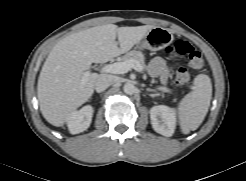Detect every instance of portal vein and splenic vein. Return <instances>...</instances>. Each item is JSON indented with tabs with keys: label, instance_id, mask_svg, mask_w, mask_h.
Wrapping results in <instances>:
<instances>
[{
	"label": "portal vein and splenic vein",
	"instance_id": "1",
	"mask_svg": "<svg viewBox=\"0 0 246 181\" xmlns=\"http://www.w3.org/2000/svg\"><path fill=\"white\" fill-rule=\"evenodd\" d=\"M131 69H134L138 72L143 70V66L139 64L137 61L134 60H128L124 62H116L113 64H108L102 68V72L104 73H111V74H124L130 71ZM91 73L89 71L84 73L83 82H85L86 78ZM162 92L171 93L172 91L167 87H159L158 88Z\"/></svg>",
	"mask_w": 246,
	"mask_h": 181
}]
</instances>
